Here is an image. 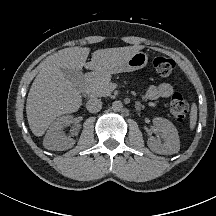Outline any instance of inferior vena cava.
<instances>
[{
    "label": "inferior vena cava",
    "instance_id": "obj_1",
    "mask_svg": "<svg viewBox=\"0 0 216 216\" xmlns=\"http://www.w3.org/2000/svg\"><path fill=\"white\" fill-rule=\"evenodd\" d=\"M86 108L90 113L99 112L102 108V101L98 98H91L87 101Z\"/></svg>",
    "mask_w": 216,
    "mask_h": 216
}]
</instances>
